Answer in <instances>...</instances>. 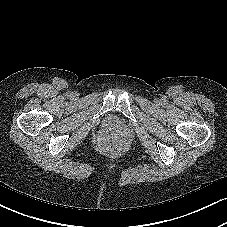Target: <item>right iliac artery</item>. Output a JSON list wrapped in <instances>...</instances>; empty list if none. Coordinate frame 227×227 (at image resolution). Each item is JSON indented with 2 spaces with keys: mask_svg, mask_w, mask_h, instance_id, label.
<instances>
[{
  "mask_svg": "<svg viewBox=\"0 0 227 227\" xmlns=\"http://www.w3.org/2000/svg\"><path fill=\"white\" fill-rule=\"evenodd\" d=\"M67 95H68V96H71V93H68Z\"/></svg>",
  "mask_w": 227,
  "mask_h": 227,
  "instance_id": "1",
  "label": "right iliac artery"
}]
</instances>
